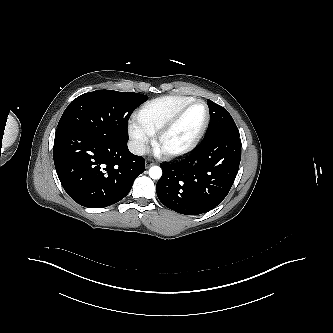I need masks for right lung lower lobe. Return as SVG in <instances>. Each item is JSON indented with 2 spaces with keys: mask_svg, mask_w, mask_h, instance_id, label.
I'll list each match as a JSON object with an SVG mask.
<instances>
[{
  "mask_svg": "<svg viewBox=\"0 0 333 333\" xmlns=\"http://www.w3.org/2000/svg\"><path fill=\"white\" fill-rule=\"evenodd\" d=\"M127 142L56 131L54 164L66 193L88 208L107 207L127 196L144 172V158L132 154Z\"/></svg>",
  "mask_w": 333,
  "mask_h": 333,
  "instance_id": "obj_1",
  "label": "right lung lower lobe"
}]
</instances>
